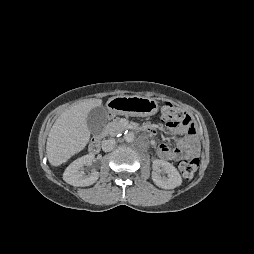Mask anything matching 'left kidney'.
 Here are the masks:
<instances>
[{
  "label": "left kidney",
  "instance_id": "obj_1",
  "mask_svg": "<svg viewBox=\"0 0 254 254\" xmlns=\"http://www.w3.org/2000/svg\"><path fill=\"white\" fill-rule=\"evenodd\" d=\"M152 167L154 170L152 172V180L158 187L164 189H174L182 184V178L178 170L169 162L156 159L153 161ZM160 168L164 170V172L167 174V177H161L158 174Z\"/></svg>",
  "mask_w": 254,
  "mask_h": 254
}]
</instances>
